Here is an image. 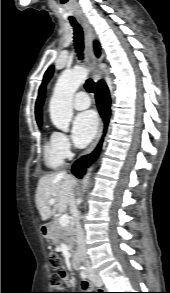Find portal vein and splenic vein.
I'll return each mask as SVG.
<instances>
[{"instance_id": "1", "label": "portal vein and splenic vein", "mask_w": 170, "mask_h": 293, "mask_svg": "<svg viewBox=\"0 0 170 293\" xmlns=\"http://www.w3.org/2000/svg\"><path fill=\"white\" fill-rule=\"evenodd\" d=\"M49 204L54 205L55 204V199L49 200ZM69 223H70V217L67 214H64V215L60 216L59 224H60L61 227H65Z\"/></svg>"}]
</instances>
